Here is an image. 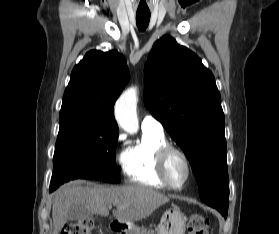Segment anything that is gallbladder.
<instances>
[{
  "label": "gallbladder",
  "mask_w": 279,
  "mask_h": 234,
  "mask_svg": "<svg viewBox=\"0 0 279 234\" xmlns=\"http://www.w3.org/2000/svg\"><path fill=\"white\" fill-rule=\"evenodd\" d=\"M90 217V212L82 205L73 204L67 214L68 220H80Z\"/></svg>",
  "instance_id": "1"
}]
</instances>
